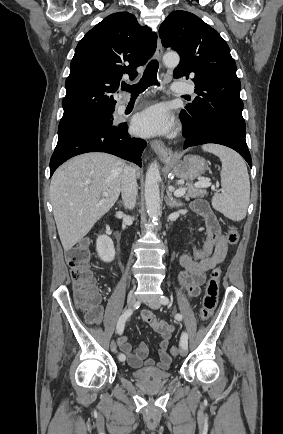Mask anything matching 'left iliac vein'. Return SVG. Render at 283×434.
<instances>
[{
    "label": "left iliac vein",
    "mask_w": 283,
    "mask_h": 434,
    "mask_svg": "<svg viewBox=\"0 0 283 434\" xmlns=\"http://www.w3.org/2000/svg\"><path fill=\"white\" fill-rule=\"evenodd\" d=\"M148 306L150 307V308H152V309H154V310H157V309H159L160 308V306H161V303H160V301L159 300H151V301H149L148 302ZM187 348H181L180 349V355L181 356H186L187 355Z\"/></svg>",
    "instance_id": "4c4485c4"
}]
</instances>
